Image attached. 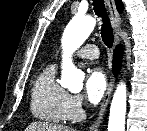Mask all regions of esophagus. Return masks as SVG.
Returning <instances> with one entry per match:
<instances>
[{
  "label": "esophagus",
  "instance_id": "1",
  "mask_svg": "<svg viewBox=\"0 0 147 131\" xmlns=\"http://www.w3.org/2000/svg\"><path fill=\"white\" fill-rule=\"evenodd\" d=\"M105 1L108 6L109 13L111 16V22H112L113 29L115 30V44L117 45L119 42V36L117 34V31L121 25L120 14L117 11L114 0H105ZM114 82H115V78L112 77L108 83V87H107L106 93L104 95L98 117H97L96 121L90 126L89 131H98V129L102 123L103 116L106 112L107 105H108L110 98H111V94H112V91L114 88Z\"/></svg>",
  "mask_w": 147,
  "mask_h": 131
}]
</instances>
